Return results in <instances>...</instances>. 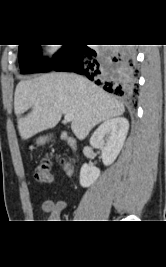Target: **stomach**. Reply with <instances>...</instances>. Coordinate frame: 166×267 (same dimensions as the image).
Listing matches in <instances>:
<instances>
[{
  "instance_id": "0dacf381",
  "label": "stomach",
  "mask_w": 166,
  "mask_h": 267,
  "mask_svg": "<svg viewBox=\"0 0 166 267\" xmlns=\"http://www.w3.org/2000/svg\"><path fill=\"white\" fill-rule=\"evenodd\" d=\"M47 137H40L38 140H37V143L38 144H44L46 141H47Z\"/></svg>"
}]
</instances>
